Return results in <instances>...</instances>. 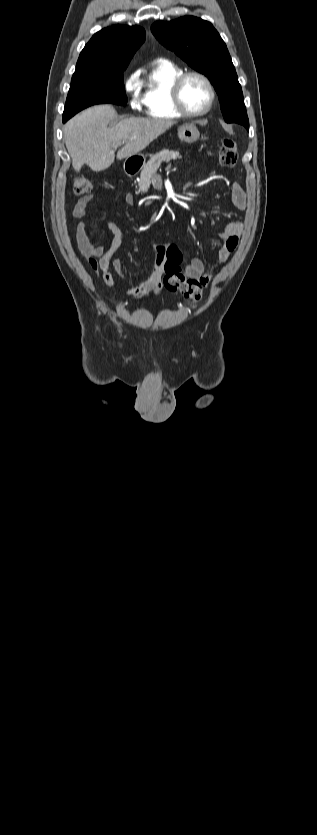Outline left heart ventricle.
<instances>
[{
	"label": "left heart ventricle",
	"mask_w": 317,
	"mask_h": 835,
	"mask_svg": "<svg viewBox=\"0 0 317 835\" xmlns=\"http://www.w3.org/2000/svg\"><path fill=\"white\" fill-rule=\"evenodd\" d=\"M210 99L207 85L197 77L189 78L182 90V100L186 108L192 112L203 110Z\"/></svg>",
	"instance_id": "1"
}]
</instances>
